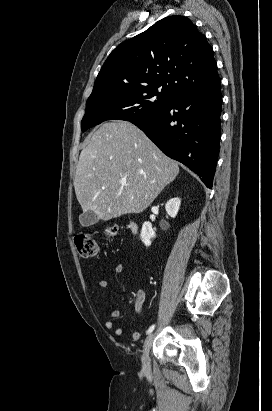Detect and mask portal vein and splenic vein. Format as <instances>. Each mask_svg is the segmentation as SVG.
I'll return each mask as SVG.
<instances>
[{
	"instance_id": "18ae733b",
	"label": "portal vein and splenic vein",
	"mask_w": 272,
	"mask_h": 411,
	"mask_svg": "<svg viewBox=\"0 0 272 411\" xmlns=\"http://www.w3.org/2000/svg\"><path fill=\"white\" fill-rule=\"evenodd\" d=\"M121 183H122L123 186L126 185V182H125V181H122Z\"/></svg>"
}]
</instances>
